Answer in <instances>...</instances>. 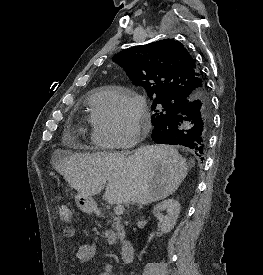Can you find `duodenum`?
<instances>
[{
  "label": "duodenum",
  "instance_id": "duodenum-1",
  "mask_svg": "<svg viewBox=\"0 0 263 275\" xmlns=\"http://www.w3.org/2000/svg\"><path fill=\"white\" fill-rule=\"evenodd\" d=\"M135 253V248L133 243L127 239L124 238L121 245V251H120V257L121 260L124 262H129L133 259Z\"/></svg>",
  "mask_w": 263,
  "mask_h": 275
}]
</instances>
